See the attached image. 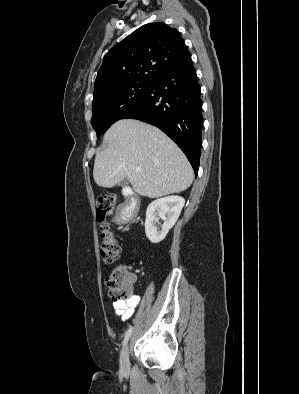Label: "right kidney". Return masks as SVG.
<instances>
[{
	"label": "right kidney",
	"instance_id": "ca27d5eb",
	"mask_svg": "<svg viewBox=\"0 0 299 394\" xmlns=\"http://www.w3.org/2000/svg\"><path fill=\"white\" fill-rule=\"evenodd\" d=\"M185 200L176 195L156 199L146 210L145 233L151 243L162 241L180 216ZM162 219V229L157 230V222Z\"/></svg>",
	"mask_w": 299,
	"mask_h": 394
}]
</instances>
